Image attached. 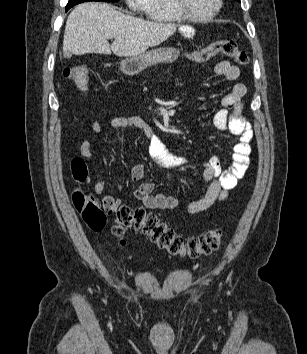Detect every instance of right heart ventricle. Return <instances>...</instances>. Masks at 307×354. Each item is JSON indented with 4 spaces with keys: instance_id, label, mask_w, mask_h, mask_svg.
Listing matches in <instances>:
<instances>
[{
    "instance_id": "1",
    "label": "right heart ventricle",
    "mask_w": 307,
    "mask_h": 354,
    "mask_svg": "<svg viewBox=\"0 0 307 354\" xmlns=\"http://www.w3.org/2000/svg\"><path fill=\"white\" fill-rule=\"evenodd\" d=\"M155 22H180L183 18L176 11L173 0H148L143 10Z\"/></svg>"
}]
</instances>
